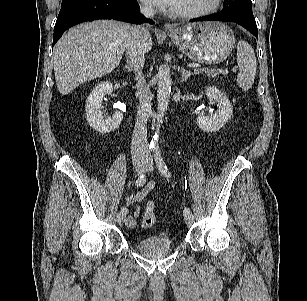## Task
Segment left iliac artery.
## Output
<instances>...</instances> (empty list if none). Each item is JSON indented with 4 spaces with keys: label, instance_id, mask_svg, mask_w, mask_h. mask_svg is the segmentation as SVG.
I'll list each match as a JSON object with an SVG mask.
<instances>
[{
    "label": "left iliac artery",
    "instance_id": "left-iliac-artery-1",
    "mask_svg": "<svg viewBox=\"0 0 307 301\" xmlns=\"http://www.w3.org/2000/svg\"><path fill=\"white\" fill-rule=\"evenodd\" d=\"M155 162L157 164V167L159 169V171L161 172L162 175H164L165 177H170L171 173L168 170V167L166 165V163L164 162V159L161 155V151L159 147H155ZM190 213V209L189 208H185L183 211V214L186 215Z\"/></svg>",
    "mask_w": 307,
    "mask_h": 301
}]
</instances>
